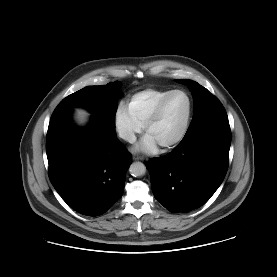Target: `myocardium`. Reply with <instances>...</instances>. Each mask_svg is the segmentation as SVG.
<instances>
[{
  "label": "myocardium",
  "mask_w": 277,
  "mask_h": 277,
  "mask_svg": "<svg viewBox=\"0 0 277 277\" xmlns=\"http://www.w3.org/2000/svg\"><path fill=\"white\" fill-rule=\"evenodd\" d=\"M177 93H182L187 97L188 100V113H187V117L184 123V126L182 128V130L180 131V133L171 141L160 145L162 149H171L173 147H175L176 145H178L187 135L190 125H191V120H192V116H193V99L191 97V95L184 89H174L172 91H170L167 95H165L157 104V106L155 107L154 111L152 112V114L150 115V117L147 119L146 123L144 124V129L146 132H148L149 128L157 122V120L160 118L163 109L166 105V103L168 102V100L175 94Z\"/></svg>",
  "instance_id": "f54148a6"
}]
</instances>
